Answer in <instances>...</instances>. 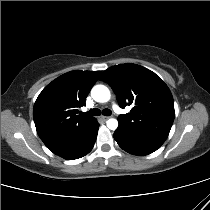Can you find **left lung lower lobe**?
I'll list each match as a JSON object with an SVG mask.
<instances>
[{
    "label": "left lung lower lobe",
    "mask_w": 210,
    "mask_h": 210,
    "mask_svg": "<svg viewBox=\"0 0 210 210\" xmlns=\"http://www.w3.org/2000/svg\"><path fill=\"white\" fill-rule=\"evenodd\" d=\"M114 139L123 150L139 156L156 151L164 143V141L158 139L127 134L119 129L114 132Z\"/></svg>",
    "instance_id": "left-lung-lower-lobe-1"
}]
</instances>
